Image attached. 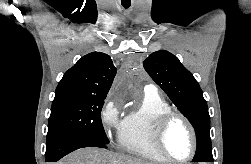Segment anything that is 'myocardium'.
Segmentation results:
<instances>
[{
    "label": "myocardium",
    "instance_id": "myocardium-1",
    "mask_svg": "<svg viewBox=\"0 0 251 164\" xmlns=\"http://www.w3.org/2000/svg\"><path fill=\"white\" fill-rule=\"evenodd\" d=\"M180 119L188 128L191 141L192 149L191 153L185 158H175L171 156L165 147V135L173 120ZM154 144L158 152L167 160L173 163H185L190 161L196 154L197 151V135L194 126L190 120L180 112L170 110L162 114L156 121L154 127Z\"/></svg>",
    "mask_w": 251,
    "mask_h": 164
}]
</instances>
